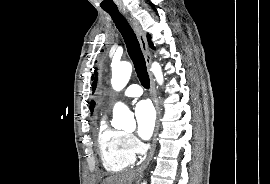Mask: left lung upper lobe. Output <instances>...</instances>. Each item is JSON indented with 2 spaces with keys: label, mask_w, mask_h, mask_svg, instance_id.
Masks as SVG:
<instances>
[{
  "label": "left lung upper lobe",
  "mask_w": 270,
  "mask_h": 184,
  "mask_svg": "<svg viewBox=\"0 0 270 184\" xmlns=\"http://www.w3.org/2000/svg\"><path fill=\"white\" fill-rule=\"evenodd\" d=\"M147 38H148V42H149L150 47H151L152 49H154L153 44L150 42V35H149V34L147 35ZM92 79H93V78H92Z\"/></svg>",
  "instance_id": "5c2ea615"
}]
</instances>
